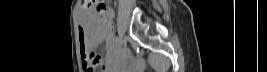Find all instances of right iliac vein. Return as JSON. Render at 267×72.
<instances>
[{"instance_id":"1","label":"right iliac vein","mask_w":267,"mask_h":72,"mask_svg":"<svg viewBox=\"0 0 267 72\" xmlns=\"http://www.w3.org/2000/svg\"><path fill=\"white\" fill-rule=\"evenodd\" d=\"M119 46H122L123 45V40L120 39V41L118 42Z\"/></svg>"}]
</instances>
